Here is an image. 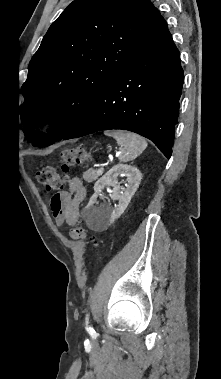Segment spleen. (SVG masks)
Instances as JSON below:
<instances>
[{
  "label": "spleen",
  "mask_w": 221,
  "mask_h": 379,
  "mask_svg": "<svg viewBox=\"0 0 221 379\" xmlns=\"http://www.w3.org/2000/svg\"><path fill=\"white\" fill-rule=\"evenodd\" d=\"M112 136L120 146V162H129L137 158L147 147L146 140L138 134L126 131L106 132Z\"/></svg>",
  "instance_id": "spleen-1"
}]
</instances>
